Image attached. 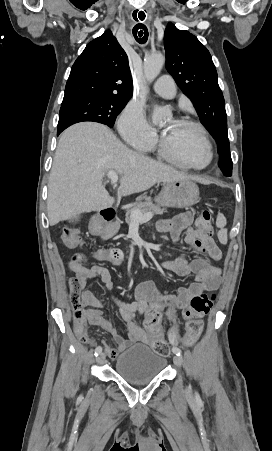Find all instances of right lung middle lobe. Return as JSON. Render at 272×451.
Returning <instances> with one entry per match:
<instances>
[{
  "instance_id": "dd1d6c3e",
  "label": "right lung middle lobe",
  "mask_w": 272,
  "mask_h": 451,
  "mask_svg": "<svg viewBox=\"0 0 272 451\" xmlns=\"http://www.w3.org/2000/svg\"><path fill=\"white\" fill-rule=\"evenodd\" d=\"M128 101L129 99L102 97H80L63 101L57 132L83 121L99 122L112 128L116 117Z\"/></svg>"
}]
</instances>
